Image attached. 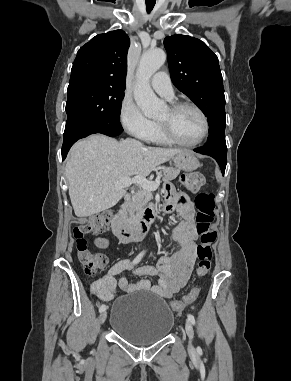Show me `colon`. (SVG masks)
Listing matches in <instances>:
<instances>
[{
	"label": "colon",
	"mask_w": 291,
	"mask_h": 381,
	"mask_svg": "<svg viewBox=\"0 0 291 381\" xmlns=\"http://www.w3.org/2000/svg\"><path fill=\"white\" fill-rule=\"evenodd\" d=\"M184 185L190 191H198L204 186V178L197 173H187L182 177ZM197 208L196 230L200 237V244L197 248L198 264L196 273L199 277L206 276L212 265V246L217 239V231L214 228L215 201L211 192H200L195 198ZM109 212H100L90 216L86 221L79 223L73 229V236L76 241L78 258L83 264L86 274L95 276L100 269L107 264V258L102 254H95L88 250L87 236L104 232L110 222ZM198 296V289L193 288L188 295L182 299L171 302L173 311L180 313L187 305L192 303Z\"/></svg>",
	"instance_id": "obj_1"
}]
</instances>
